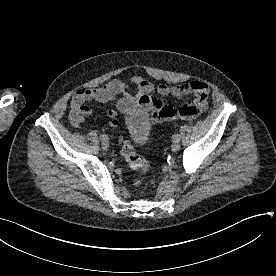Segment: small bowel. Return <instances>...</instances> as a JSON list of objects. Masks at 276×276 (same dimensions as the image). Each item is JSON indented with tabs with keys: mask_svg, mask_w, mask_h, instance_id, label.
Listing matches in <instances>:
<instances>
[{
	"mask_svg": "<svg viewBox=\"0 0 276 276\" xmlns=\"http://www.w3.org/2000/svg\"><path fill=\"white\" fill-rule=\"evenodd\" d=\"M131 87L119 80L113 79L104 85L94 88L78 90L71 100V120L74 125L84 122L85 118L93 114L89 106L92 101L109 102L119 97L115 109L108 111L109 126L119 124V115H129L135 111L147 112L152 122H162L173 119H193L200 115L208 106L209 86L203 81H190L181 85L160 84L157 87L141 76H134ZM156 91L161 97L182 99L192 95L194 100L190 104L174 107L165 105L153 95Z\"/></svg>",
	"mask_w": 276,
	"mask_h": 276,
	"instance_id": "1",
	"label": "small bowel"
}]
</instances>
